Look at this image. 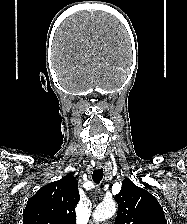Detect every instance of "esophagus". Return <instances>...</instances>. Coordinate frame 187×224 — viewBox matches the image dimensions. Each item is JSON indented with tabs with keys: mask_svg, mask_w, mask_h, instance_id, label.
Returning a JSON list of instances; mask_svg holds the SVG:
<instances>
[{
	"mask_svg": "<svg viewBox=\"0 0 187 224\" xmlns=\"http://www.w3.org/2000/svg\"><path fill=\"white\" fill-rule=\"evenodd\" d=\"M102 165H103V164H102L101 162H97V163H96V168H101Z\"/></svg>",
	"mask_w": 187,
	"mask_h": 224,
	"instance_id": "34e87169",
	"label": "esophagus"
}]
</instances>
